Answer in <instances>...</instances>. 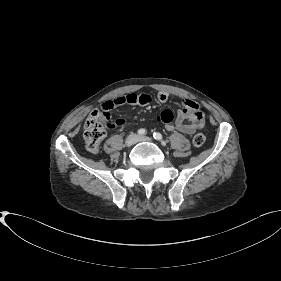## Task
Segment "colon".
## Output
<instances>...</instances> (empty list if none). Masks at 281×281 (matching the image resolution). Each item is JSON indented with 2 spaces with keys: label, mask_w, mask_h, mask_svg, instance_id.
<instances>
[{
  "label": "colon",
  "mask_w": 281,
  "mask_h": 281,
  "mask_svg": "<svg viewBox=\"0 0 281 281\" xmlns=\"http://www.w3.org/2000/svg\"><path fill=\"white\" fill-rule=\"evenodd\" d=\"M111 115L103 110L92 111L84 125V139L87 150L96 154L99 151L101 141L107 134V129L113 127ZM205 142V136L202 133H196L193 137V144L200 147Z\"/></svg>",
  "instance_id": "5ec220e1"
}]
</instances>
